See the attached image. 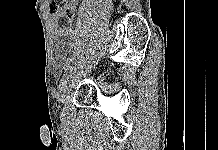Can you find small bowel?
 <instances>
[{
  "label": "small bowel",
  "instance_id": "small-bowel-1",
  "mask_svg": "<svg viewBox=\"0 0 218 150\" xmlns=\"http://www.w3.org/2000/svg\"><path fill=\"white\" fill-rule=\"evenodd\" d=\"M78 2L79 0H65L57 9H51L52 33L55 38L67 40H74L76 38V34L72 28L68 27L63 29L59 27L58 19L62 17L71 21ZM56 55L58 58L62 59L65 56V51L62 48H58L56 50Z\"/></svg>",
  "mask_w": 218,
  "mask_h": 150
}]
</instances>
